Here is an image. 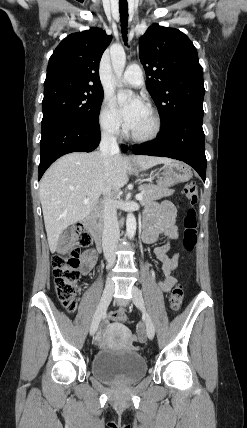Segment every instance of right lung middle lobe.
<instances>
[{
  "instance_id": "obj_1",
  "label": "right lung middle lobe",
  "mask_w": 247,
  "mask_h": 428,
  "mask_svg": "<svg viewBox=\"0 0 247 428\" xmlns=\"http://www.w3.org/2000/svg\"><path fill=\"white\" fill-rule=\"evenodd\" d=\"M103 96V89L92 87H62L44 92L42 122L64 118L96 124Z\"/></svg>"
}]
</instances>
